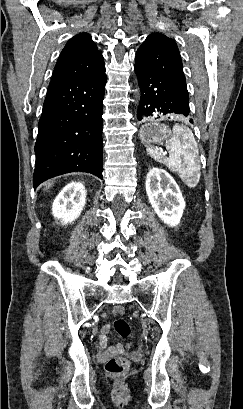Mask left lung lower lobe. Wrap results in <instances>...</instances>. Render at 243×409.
I'll use <instances>...</instances> for the list:
<instances>
[{
    "mask_svg": "<svg viewBox=\"0 0 243 409\" xmlns=\"http://www.w3.org/2000/svg\"><path fill=\"white\" fill-rule=\"evenodd\" d=\"M141 88L138 120L148 116L182 114L189 116V95L186 83L178 81L160 72L144 69L135 65ZM193 123V120H190Z\"/></svg>",
    "mask_w": 243,
    "mask_h": 409,
    "instance_id": "left-lung-lower-lobe-1",
    "label": "left lung lower lobe"
}]
</instances>
